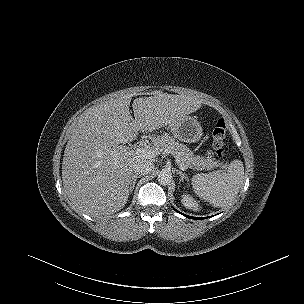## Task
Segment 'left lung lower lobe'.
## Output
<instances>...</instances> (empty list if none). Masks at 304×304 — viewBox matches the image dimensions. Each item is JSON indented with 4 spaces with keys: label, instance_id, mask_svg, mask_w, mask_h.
<instances>
[{
    "label": "left lung lower lobe",
    "instance_id": "obj_1",
    "mask_svg": "<svg viewBox=\"0 0 304 304\" xmlns=\"http://www.w3.org/2000/svg\"><path fill=\"white\" fill-rule=\"evenodd\" d=\"M177 211V210H176ZM179 212V211H178ZM182 214V213H181ZM184 216H186V217H188V218H191V219H204V218H196V217H191V216H187V215H185V214H183Z\"/></svg>",
    "mask_w": 304,
    "mask_h": 304
}]
</instances>
